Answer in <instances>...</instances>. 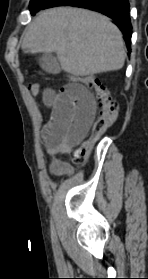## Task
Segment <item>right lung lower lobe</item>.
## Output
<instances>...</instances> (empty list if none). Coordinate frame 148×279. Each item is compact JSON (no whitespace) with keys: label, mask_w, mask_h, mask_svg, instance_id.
I'll use <instances>...</instances> for the list:
<instances>
[{"label":"right lung lower lobe","mask_w":148,"mask_h":279,"mask_svg":"<svg viewBox=\"0 0 148 279\" xmlns=\"http://www.w3.org/2000/svg\"><path fill=\"white\" fill-rule=\"evenodd\" d=\"M55 6H74L98 11L114 20L122 31L130 52L132 26L128 0H48L43 9Z\"/></svg>","instance_id":"right-lung-lower-lobe-1"}]
</instances>
